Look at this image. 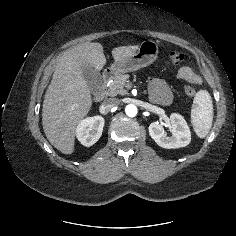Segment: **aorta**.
Wrapping results in <instances>:
<instances>
[{"instance_id": "aorta-1", "label": "aorta", "mask_w": 236, "mask_h": 236, "mask_svg": "<svg viewBox=\"0 0 236 236\" xmlns=\"http://www.w3.org/2000/svg\"><path fill=\"white\" fill-rule=\"evenodd\" d=\"M138 109L135 105L129 104L125 107V113L129 117H134L137 115Z\"/></svg>"}]
</instances>
